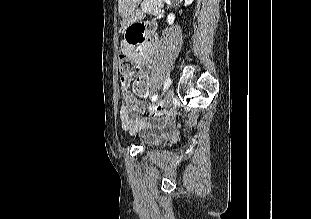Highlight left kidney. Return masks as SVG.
Returning <instances> with one entry per match:
<instances>
[{"label":"left kidney","mask_w":311,"mask_h":219,"mask_svg":"<svg viewBox=\"0 0 311 219\" xmlns=\"http://www.w3.org/2000/svg\"><path fill=\"white\" fill-rule=\"evenodd\" d=\"M194 0H185V6L190 5ZM175 15L170 13L167 17V22L172 24L174 22Z\"/></svg>","instance_id":"1"}]
</instances>
